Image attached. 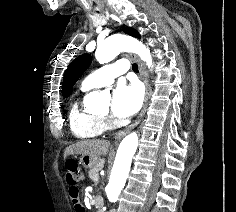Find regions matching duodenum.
<instances>
[{
	"label": "duodenum",
	"instance_id": "duodenum-1",
	"mask_svg": "<svg viewBox=\"0 0 236 212\" xmlns=\"http://www.w3.org/2000/svg\"><path fill=\"white\" fill-rule=\"evenodd\" d=\"M96 212H104V210H103L102 206H100V205H97Z\"/></svg>",
	"mask_w": 236,
	"mask_h": 212
}]
</instances>
